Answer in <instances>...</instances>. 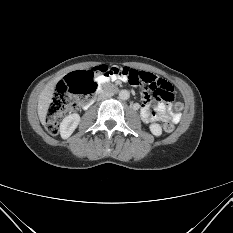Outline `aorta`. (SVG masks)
<instances>
[{"label":"aorta","mask_w":233,"mask_h":233,"mask_svg":"<svg viewBox=\"0 0 233 233\" xmlns=\"http://www.w3.org/2000/svg\"><path fill=\"white\" fill-rule=\"evenodd\" d=\"M129 97H130V93H129L128 90H121V91L119 92V98H120V99H122V100H127V99H129Z\"/></svg>","instance_id":"obj_1"}]
</instances>
